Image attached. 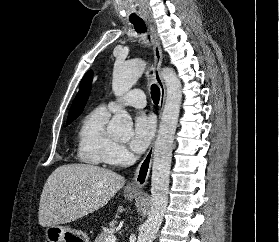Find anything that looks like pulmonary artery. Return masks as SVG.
<instances>
[{
    "label": "pulmonary artery",
    "mask_w": 279,
    "mask_h": 242,
    "mask_svg": "<svg viewBox=\"0 0 279 242\" xmlns=\"http://www.w3.org/2000/svg\"><path fill=\"white\" fill-rule=\"evenodd\" d=\"M146 105L145 93L140 89H135L123 96L119 101H111L109 108L117 109L119 106H133L135 108H143Z\"/></svg>",
    "instance_id": "obj_1"
}]
</instances>
